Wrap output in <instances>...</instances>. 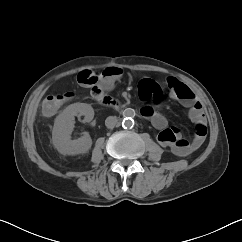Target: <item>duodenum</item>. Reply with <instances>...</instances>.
<instances>
[{
    "label": "duodenum",
    "mask_w": 242,
    "mask_h": 242,
    "mask_svg": "<svg viewBox=\"0 0 242 242\" xmlns=\"http://www.w3.org/2000/svg\"><path fill=\"white\" fill-rule=\"evenodd\" d=\"M95 100H97L101 105L109 107V108H113V109H119L121 107V104L119 101L110 98V97H106V96H96Z\"/></svg>",
    "instance_id": "1"
}]
</instances>
